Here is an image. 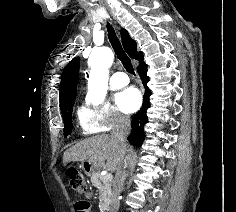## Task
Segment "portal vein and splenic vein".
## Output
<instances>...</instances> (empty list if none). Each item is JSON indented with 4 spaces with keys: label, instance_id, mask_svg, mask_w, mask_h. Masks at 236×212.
<instances>
[{
    "label": "portal vein and splenic vein",
    "instance_id": "portal-vein-and-splenic-vein-1",
    "mask_svg": "<svg viewBox=\"0 0 236 212\" xmlns=\"http://www.w3.org/2000/svg\"><path fill=\"white\" fill-rule=\"evenodd\" d=\"M104 178H105L106 180H111V179L113 178V176H112L111 173H107V174L104 176Z\"/></svg>",
    "mask_w": 236,
    "mask_h": 212
}]
</instances>
